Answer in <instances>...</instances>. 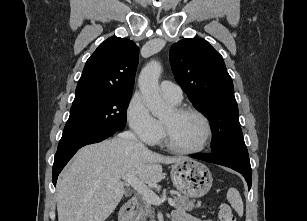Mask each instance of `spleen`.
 <instances>
[{
    "label": "spleen",
    "instance_id": "obj_1",
    "mask_svg": "<svg viewBox=\"0 0 307 221\" xmlns=\"http://www.w3.org/2000/svg\"><path fill=\"white\" fill-rule=\"evenodd\" d=\"M227 200L237 214L242 217L244 212V205L240 193L235 188H230L227 192Z\"/></svg>",
    "mask_w": 307,
    "mask_h": 221
}]
</instances>
